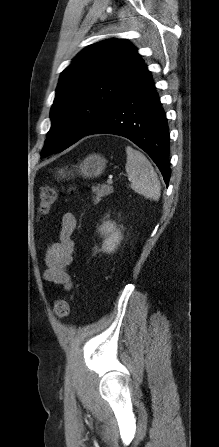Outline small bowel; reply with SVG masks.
I'll use <instances>...</instances> for the list:
<instances>
[{"instance_id": "small-bowel-1", "label": "small bowel", "mask_w": 219, "mask_h": 447, "mask_svg": "<svg viewBox=\"0 0 219 447\" xmlns=\"http://www.w3.org/2000/svg\"><path fill=\"white\" fill-rule=\"evenodd\" d=\"M76 228V218L72 213H64L59 223L58 241L51 244L46 252V281L63 286L66 290L72 288V282L67 273L73 261L74 241L72 234Z\"/></svg>"}]
</instances>
